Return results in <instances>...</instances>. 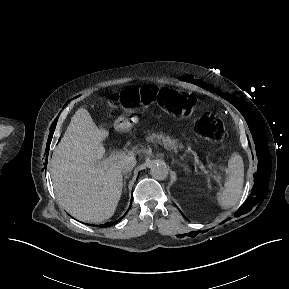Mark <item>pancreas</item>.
I'll return each mask as SVG.
<instances>
[{"label": "pancreas", "instance_id": "1", "mask_svg": "<svg viewBox=\"0 0 289 289\" xmlns=\"http://www.w3.org/2000/svg\"><path fill=\"white\" fill-rule=\"evenodd\" d=\"M147 141L164 145L169 150H177V149L183 148V145L178 144V142L175 139L165 136V134L163 133H157V134L152 133L149 136H147Z\"/></svg>", "mask_w": 289, "mask_h": 289}]
</instances>
